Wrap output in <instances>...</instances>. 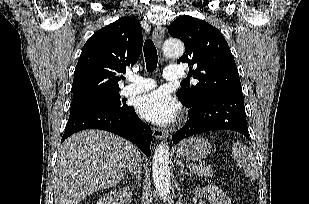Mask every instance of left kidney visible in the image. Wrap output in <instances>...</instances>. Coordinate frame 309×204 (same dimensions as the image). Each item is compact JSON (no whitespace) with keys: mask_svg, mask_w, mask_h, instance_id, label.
I'll list each match as a JSON object with an SVG mask.
<instances>
[{"mask_svg":"<svg viewBox=\"0 0 309 204\" xmlns=\"http://www.w3.org/2000/svg\"><path fill=\"white\" fill-rule=\"evenodd\" d=\"M194 194L198 197H205L210 204H231L227 194L215 185H208L204 188H196Z\"/></svg>","mask_w":309,"mask_h":204,"instance_id":"obj_1","label":"left kidney"}]
</instances>
